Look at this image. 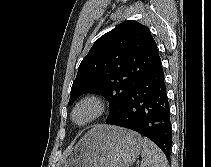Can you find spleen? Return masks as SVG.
<instances>
[{"instance_id":"obj_1","label":"spleen","mask_w":211,"mask_h":167,"mask_svg":"<svg viewBox=\"0 0 211 167\" xmlns=\"http://www.w3.org/2000/svg\"><path fill=\"white\" fill-rule=\"evenodd\" d=\"M141 167H167L164 153L149 139H143Z\"/></svg>"}]
</instances>
